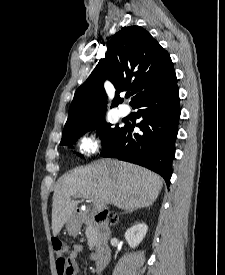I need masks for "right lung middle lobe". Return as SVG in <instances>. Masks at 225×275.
Instances as JSON below:
<instances>
[{"mask_svg": "<svg viewBox=\"0 0 225 275\" xmlns=\"http://www.w3.org/2000/svg\"><path fill=\"white\" fill-rule=\"evenodd\" d=\"M97 129L102 139V146L113 140L122 130L101 119V113L64 127L60 145H71L86 131Z\"/></svg>", "mask_w": 225, "mask_h": 275, "instance_id": "dd1d6c3e", "label": "right lung middle lobe"}]
</instances>
